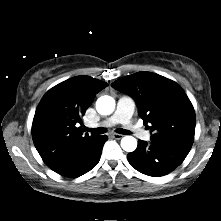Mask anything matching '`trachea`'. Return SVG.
<instances>
[{"label":"trachea","mask_w":221,"mask_h":221,"mask_svg":"<svg viewBox=\"0 0 221 221\" xmlns=\"http://www.w3.org/2000/svg\"><path fill=\"white\" fill-rule=\"evenodd\" d=\"M86 131L92 132L95 134H103V133H106L107 130L106 128L99 127V128H86ZM117 132L120 134H125V135L131 134L128 130H125V129H118Z\"/></svg>","instance_id":"3493384b"}]
</instances>
